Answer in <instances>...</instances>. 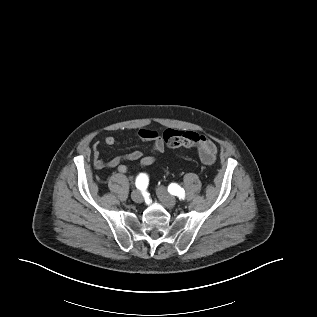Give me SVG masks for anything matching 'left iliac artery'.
Returning <instances> with one entry per match:
<instances>
[{"label":"left iliac artery","instance_id":"left-iliac-artery-1","mask_svg":"<svg viewBox=\"0 0 317 317\" xmlns=\"http://www.w3.org/2000/svg\"><path fill=\"white\" fill-rule=\"evenodd\" d=\"M168 191L172 194V195H176L177 197H179L180 200H184L185 198V192L184 189L181 188L180 186H178L177 184L173 183L169 186Z\"/></svg>","mask_w":317,"mask_h":317}]
</instances>
